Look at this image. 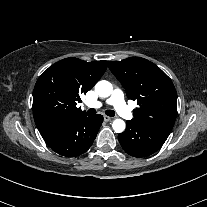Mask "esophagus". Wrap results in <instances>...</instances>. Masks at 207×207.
<instances>
[{
  "instance_id": "esophagus-1",
  "label": "esophagus",
  "mask_w": 207,
  "mask_h": 207,
  "mask_svg": "<svg viewBox=\"0 0 207 207\" xmlns=\"http://www.w3.org/2000/svg\"><path fill=\"white\" fill-rule=\"evenodd\" d=\"M111 119H112L111 117L104 115V121L109 122L111 121Z\"/></svg>"
}]
</instances>
